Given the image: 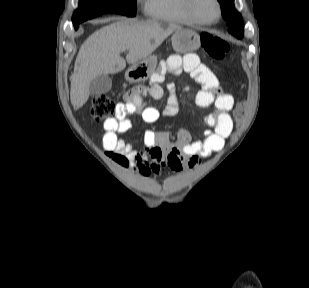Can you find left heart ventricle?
<instances>
[{"label":"left heart ventricle","instance_id":"b2bd125f","mask_svg":"<svg viewBox=\"0 0 309 288\" xmlns=\"http://www.w3.org/2000/svg\"><path fill=\"white\" fill-rule=\"evenodd\" d=\"M195 11L205 21H214L218 17V8L214 0H195Z\"/></svg>","mask_w":309,"mask_h":288}]
</instances>
